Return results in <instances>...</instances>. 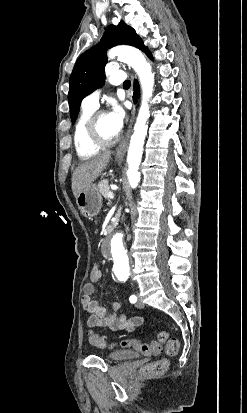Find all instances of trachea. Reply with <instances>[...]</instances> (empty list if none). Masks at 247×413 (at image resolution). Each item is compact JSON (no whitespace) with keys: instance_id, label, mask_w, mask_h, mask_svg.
Returning <instances> with one entry per match:
<instances>
[{"instance_id":"obj_1","label":"trachea","mask_w":247,"mask_h":413,"mask_svg":"<svg viewBox=\"0 0 247 413\" xmlns=\"http://www.w3.org/2000/svg\"><path fill=\"white\" fill-rule=\"evenodd\" d=\"M123 88H125L126 90L130 88V80H125V82L123 83Z\"/></svg>"}]
</instances>
